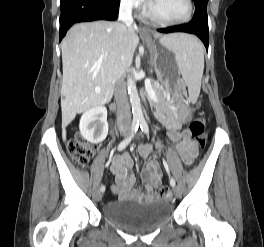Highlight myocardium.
Segmentation results:
<instances>
[{
	"label": "myocardium",
	"instance_id": "f54148a6",
	"mask_svg": "<svg viewBox=\"0 0 264 247\" xmlns=\"http://www.w3.org/2000/svg\"><path fill=\"white\" fill-rule=\"evenodd\" d=\"M186 4H187V13L183 18L178 19V20H166V19L159 17L158 15L155 14L151 6L148 7L147 14L153 21L163 26L183 25L191 21L193 17V13H194L193 1L186 0Z\"/></svg>",
	"mask_w": 264,
	"mask_h": 247
}]
</instances>
